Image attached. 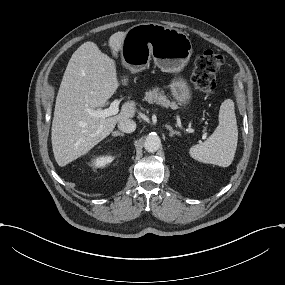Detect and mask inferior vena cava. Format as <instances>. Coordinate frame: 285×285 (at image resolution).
<instances>
[{
    "instance_id": "inferior-vena-cava-1",
    "label": "inferior vena cava",
    "mask_w": 285,
    "mask_h": 285,
    "mask_svg": "<svg viewBox=\"0 0 285 285\" xmlns=\"http://www.w3.org/2000/svg\"><path fill=\"white\" fill-rule=\"evenodd\" d=\"M118 128L122 132L132 133L136 129V123L131 119H122L118 123Z\"/></svg>"
}]
</instances>
